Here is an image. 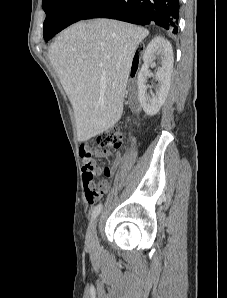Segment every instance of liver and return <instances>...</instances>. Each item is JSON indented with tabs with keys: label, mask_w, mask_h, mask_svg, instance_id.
<instances>
[{
	"label": "liver",
	"mask_w": 227,
	"mask_h": 298,
	"mask_svg": "<svg viewBox=\"0 0 227 298\" xmlns=\"http://www.w3.org/2000/svg\"><path fill=\"white\" fill-rule=\"evenodd\" d=\"M148 33L102 18L71 25L50 46L49 59L72 104L79 142L120 120L132 60Z\"/></svg>",
	"instance_id": "1"
}]
</instances>
